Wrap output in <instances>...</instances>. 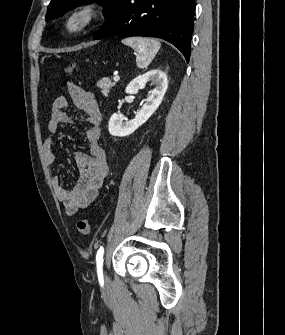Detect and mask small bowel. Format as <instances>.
I'll return each instance as SVG.
<instances>
[{"instance_id":"1","label":"small bowel","mask_w":285,"mask_h":335,"mask_svg":"<svg viewBox=\"0 0 285 335\" xmlns=\"http://www.w3.org/2000/svg\"><path fill=\"white\" fill-rule=\"evenodd\" d=\"M68 91L75 107L86 115L88 125L85 128V138L89 148V154L77 152L74 155L80 170V177L72 188L63 187L59 177L52 179L58 200L63 203L66 214L72 216L88 207L97 198L108 175L109 164L106 153L99 144L101 111L94 95L73 83L68 84ZM68 106V100L63 95L56 97L52 102L50 119L47 124V129L51 134H56L62 125L74 123L67 112ZM43 152L46 162L53 165L56 153L52 138L44 141Z\"/></svg>"}]
</instances>
